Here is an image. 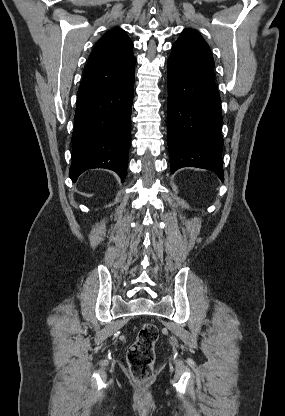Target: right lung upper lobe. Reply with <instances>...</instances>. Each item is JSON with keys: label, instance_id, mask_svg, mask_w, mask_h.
Returning a JSON list of instances; mask_svg holds the SVG:
<instances>
[{"label": "right lung upper lobe", "instance_id": "1", "mask_svg": "<svg viewBox=\"0 0 285 416\" xmlns=\"http://www.w3.org/2000/svg\"><path fill=\"white\" fill-rule=\"evenodd\" d=\"M133 43L120 28L107 32L90 54L77 98L113 86L132 74L136 63Z\"/></svg>", "mask_w": 285, "mask_h": 416}]
</instances>
